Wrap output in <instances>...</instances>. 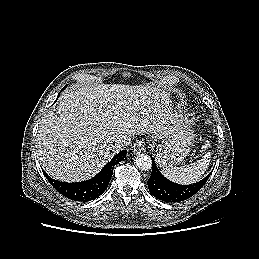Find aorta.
Instances as JSON below:
<instances>
[{"instance_id":"obj_1","label":"aorta","mask_w":259,"mask_h":259,"mask_svg":"<svg viewBox=\"0 0 259 259\" xmlns=\"http://www.w3.org/2000/svg\"><path fill=\"white\" fill-rule=\"evenodd\" d=\"M136 166L142 171H148L152 167L151 158L146 154H139L135 158Z\"/></svg>"}]
</instances>
